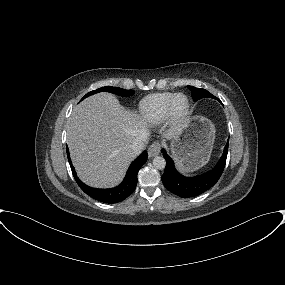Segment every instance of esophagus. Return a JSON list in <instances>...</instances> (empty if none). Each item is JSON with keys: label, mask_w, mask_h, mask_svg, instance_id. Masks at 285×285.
<instances>
[{"label": "esophagus", "mask_w": 285, "mask_h": 285, "mask_svg": "<svg viewBox=\"0 0 285 285\" xmlns=\"http://www.w3.org/2000/svg\"><path fill=\"white\" fill-rule=\"evenodd\" d=\"M161 145L158 141L153 142L149 149H148V155L149 157H155L160 153Z\"/></svg>", "instance_id": "obj_1"}]
</instances>
